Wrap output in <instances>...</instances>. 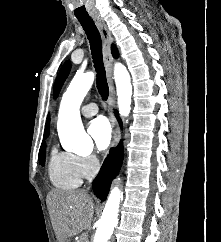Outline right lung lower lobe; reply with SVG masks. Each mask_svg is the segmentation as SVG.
Masks as SVG:
<instances>
[{
	"mask_svg": "<svg viewBox=\"0 0 221 242\" xmlns=\"http://www.w3.org/2000/svg\"><path fill=\"white\" fill-rule=\"evenodd\" d=\"M118 116V115H117ZM119 120V118H118ZM121 123V121L119 120ZM124 157L122 141L119 143L116 149L110 151V154L105 159L100 172L93 181V191L95 195L101 199L105 200L112 180L118 175Z\"/></svg>",
	"mask_w": 221,
	"mask_h": 242,
	"instance_id": "98d812e1",
	"label": "right lung lower lobe"
}]
</instances>
